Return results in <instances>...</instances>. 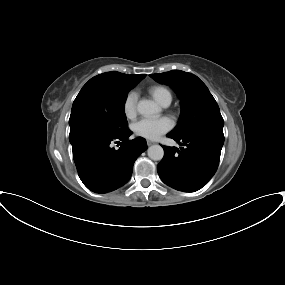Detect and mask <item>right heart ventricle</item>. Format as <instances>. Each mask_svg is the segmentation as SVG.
Returning a JSON list of instances; mask_svg holds the SVG:
<instances>
[{"label":"right heart ventricle","mask_w":285,"mask_h":285,"mask_svg":"<svg viewBox=\"0 0 285 285\" xmlns=\"http://www.w3.org/2000/svg\"><path fill=\"white\" fill-rule=\"evenodd\" d=\"M151 96L161 105L165 103H171L172 93L163 85H155L149 88Z\"/></svg>","instance_id":"e07e8e85"}]
</instances>
